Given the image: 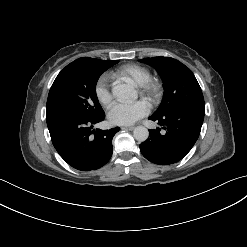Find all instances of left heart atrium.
<instances>
[{
  "label": "left heart atrium",
  "instance_id": "1",
  "mask_svg": "<svg viewBox=\"0 0 247 247\" xmlns=\"http://www.w3.org/2000/svg\"><path fill=\"white\" fill-rule=\"evenodd\" d=\"M148 111V104L143 100L115 102L108 110V118L114 124L129 125L145 116Z\"/></svg>",
  "mask_w": 247,
  "mask_h": 247
}]
</instances>
